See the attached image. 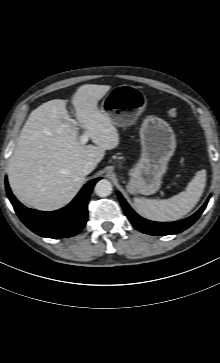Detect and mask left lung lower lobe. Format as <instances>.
Here are the masks:
<instances>
[{
  "label": "left lung lower lobe",
  "mask_w": 220,
  "mask_h": 363,
  "mask_svg": "<svg viewBox=\"0 0 220 363\" xmlns=\"http://www.w3.org/2000/svg\"><path fill=\"white\" fill-rule=\"evenodd\" d=\"M118 198L121 202V205L125 211L126 216L130 220V222L141 232L150 234V235H170L177 234L185 229L189 228L202 214L204 211L208 200L204 203V205L191 217L171 223H160L146 220L136 214L131 207L127 204L125 199L121 196L119 192H117Z\"/></svg>",
  "instance_id": "0a47b994"
}]
</instances>
